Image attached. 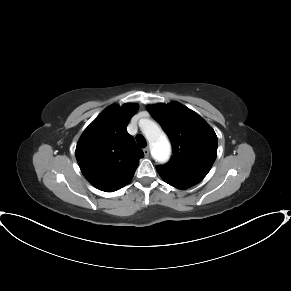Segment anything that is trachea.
Returning a JSON list of instances; mask_svg holds the SVG:
<instances>
[{"label": "trachea", "mask_w": 291, "mask_h": 291, "mask_svg": "<svg viewBox=\"0 0 291 291\" xmlns=\"http://www.w3.org/2000/svg\"><path fill=\"white\" fill-rule=\"evenodd\" d=\"M136 141H137L138 145H139L141 148H145L146 145H147L144 136L141 135V134H138V135L136 136Z\"/></svg>", "instance_id": "trachea-1"}]
</instances>
